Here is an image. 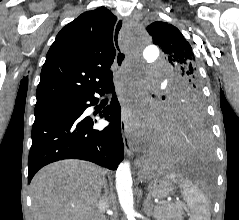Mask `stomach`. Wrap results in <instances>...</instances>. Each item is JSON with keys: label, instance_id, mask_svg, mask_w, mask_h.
<instances>
[{"label": "stomach", "instance_id": "obj_1", "mask_svg": "<svg viewBox=\"0 0 239 220\" xmlns=\"http://www.w3.org/2000/svg\"><path fill=\"white\" fill-rule=\"evenodd\" d=\"M149 193L156 198H165L174 192L172 182L162 178H151L148 186Z\"/></svg>", "mask_w": 239, "mask_h": 220}]
</instances>
